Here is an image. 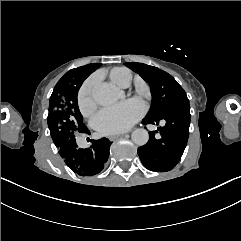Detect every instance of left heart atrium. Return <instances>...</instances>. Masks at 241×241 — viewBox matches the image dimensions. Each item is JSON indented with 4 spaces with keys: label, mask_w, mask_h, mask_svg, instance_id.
I'll return each mask as SVG.
<instances>
[{
    "label": "left heart atrium",
    "mask_w": 241,
    "mask_h": 241,
    "mask_svg": "<svg viewBox=\"0 0 241 241\" xmlns=\"http://www.w3.org/2000/svg\"><path fill=\"white\" fill-rule=\"evenodd\" d=\"M143 112L142 106L135 109L126 106L104 108L93 116L92 124L104 135L121 134L129 131Z\"/></svg>",
    "instance_id": "obj_1"
}]
</instances>
